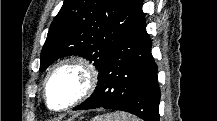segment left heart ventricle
I'll return each mask as SVG.
<instances>
[{
  "instance_id": "1",
  "label": "left heart ventricle",
  "mask_w": 217,
  "mask_h": 121,
  "mask_svg": "<svg viewBox=\"0 0 217 121\" xmlns=\"http://www.w3.org/2000/svg\"><path fill=\"white\" fill-rule=\"evenodd\" d=\"M85 77L80 70L67 68L59 71L49 85L50 103L61 108L70 103L83 89Z\"/></svg>"
}]
</instances>
